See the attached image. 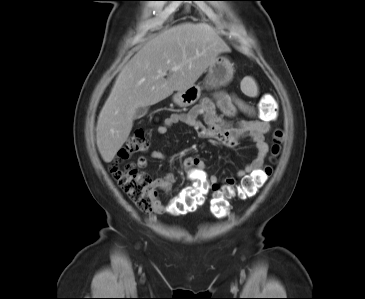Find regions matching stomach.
<instances>
[{
  "instance_id": "stomach-1",
  "label": "stomach",
  "mask_w": 365,
  "mask_h": 299,
  "mask_svg": "<svg viewBox=\"0 0 365 299\" xmlns=\"http://www.w3.org/2000/svg\"><path fill=\"white\" fill-rule=\"evenodd\" d=\"M234 73L233 64L225 56H217L208 67L207 83L212 86H224L228 84ZM201 95V88L193 85L186 90L177 91L173 95V102L180 107H187L195 104Z\"/></svg>"
}]
</instances>
